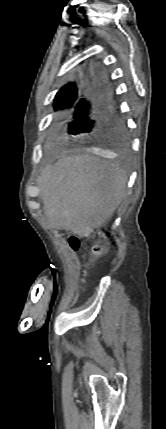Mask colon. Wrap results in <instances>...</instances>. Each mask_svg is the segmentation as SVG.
<instances>
[{"label":"colon","mask_w":166,"mask_h":429,"mask_svg":"<svg viewBox=\"0 0 166 429\" xmlns=\"http://www.w3.org/2000/svg\"><path fill=\"white\" fill-rule=\"evenodd\" d=\"M69 244L73 249H77L79 247V239L76 236H71L69 238ZM103 251V247L102 244L97 243L94 247H93V254L95 256L100 255Z\"/></svg>","instance_id":"obj_1"}]
</instances>
